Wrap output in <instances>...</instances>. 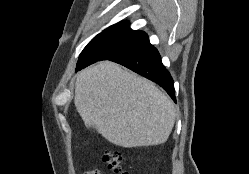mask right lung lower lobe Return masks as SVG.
I'll list each match as a JSON object with an SVG mask.
<instances>
[{
  "mask_svg": "<svg viewBox=\"0 0 249 174\" xmlns=\"http://www.w3.org/2000/svg\"><path fill=\"white\" fill-rule=\"evenodd\" d=\"M108 60L119 63L159 84L176 102L173 79L162 64L159 52L150 44L149 40L139 47Z\"/></svg>",
  "mask_w": 249,
  "mask_h": 174,
  "instance_id": "right-lung-lower-lobe-1",
  "label": "right lung lower lobe"
}]
</instances>
